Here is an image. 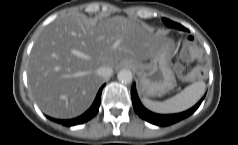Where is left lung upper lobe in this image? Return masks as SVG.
<instances>
[{
  "mask_svg": "<svg viewBox=\"0 0 238 145\" xmlns=\"http://www.w3.org/2000/svg\"><path fill=\"white\" fill-rule=\"evenodd\" d=\"M163 22L168 26V27H171V28H177L178 29V24L173 22V21H170L166 18H163Z\"/></svg>",
  "mask_w": 238,
  "mask_h": 145,
  "instance_id": "obj_1",
  "label": "left lung upper lobe"
}]
</instances>
